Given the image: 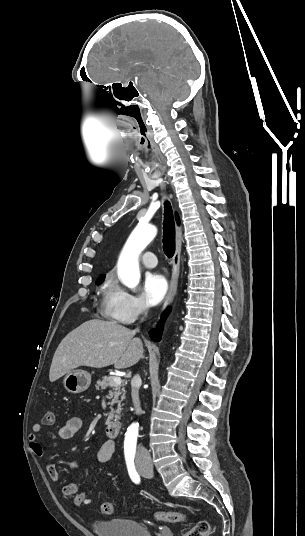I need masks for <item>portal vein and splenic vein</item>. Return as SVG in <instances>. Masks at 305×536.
<instances>
[{
    "label": "portal vein and splenic vein",
    "mask_w": 305,
    "mask_h": 536,
    "mask_svg": "<svg viewBox=\"0 0 305 536\" xmlns=\"http://www.w3.org/2000/svg\"><path fill=\"white\" fill-rule=\"evenodd\" d=\"M111 384H118V386H120L121 378H118V376H115V378H112Z\"/></svg>",
    "instance_id": "obj_1"
}]
</instances>
